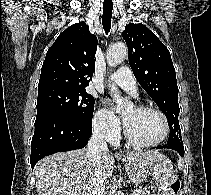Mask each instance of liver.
Instances as JSON below:
<instances>
[{"mask_svg": "<svg viewBox=\"0 0 211 195\" xmlns=\"http://www.w3.org/2000/svg\"><path fill=\"white\" fill-rule=\"evenodd\" d=\"M87 151L83 148L59 152L40 160L34 167L38 195H88L95 167L87 157ZM160 156L164 155L157 150L127 152L126 171L129 174L131 167H145L148 160ZM101 160V173L105 180L112 176L114 157L104 151Z\"/></svg>", "mask_w": 211, "mask_h": 195, "instance_id": "1", "label": "liver"}]
</instances>
